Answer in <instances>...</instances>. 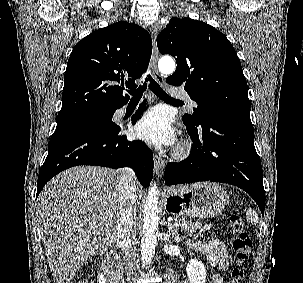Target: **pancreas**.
<instances>
[{
  "label": "pancreas",
  "mask_w": 303,
  "mask_h": 283,
  "mask_svg": "<svg viewBox=\"0 0 303 283\" xmlns=\"http://www.w3.org/2000/svg\"><path fill=\"white\" fill-rule=\"evenodd\" d=\"M174 221L178 224L177 227L180 228L181 231L187 232L189 234H192L197 230H200V232H205L211 228V225H202L200 222H196L191 219H186L184 217L179 216H176L174 218Z\"/></svg>",
  "instance_id": "1"
}]
</instances>
